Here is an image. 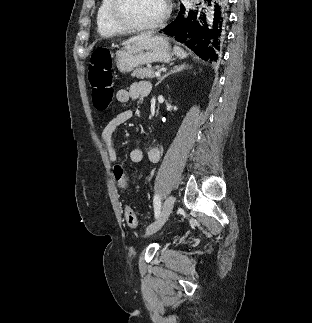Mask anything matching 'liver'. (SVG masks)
<instances>
[{
  "instance_id": "1",
  "label": "liver",
  "mask_w": 312,
  "mask_h": 323,
  "mask_svg": "<svg viewBox=\"0 0 312 323\" xmlns=\"http://www.w3.org/2000/svg\"><path fill=\"white\" fill-rule=\"evenodd\" d=\"M142 38H151V34H140V36H134V38H129V40H125L122 46L125 44H131V42H136V40H142Z\"/></svg>"
}]
</instances>
